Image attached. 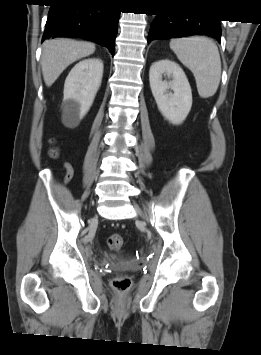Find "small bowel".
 Segmentation results:
<instances>
[{"label":"small bowel","mask_w":261,"mask_h":355,"mask_svg":"<svg viewBox=\"0 0 261 355\" xmlns=\"http://www.w3.org/2000/svg\"><path fill=\"white\" fill-rule=\"evenodd\" d=\"M64 167H65V169H66V173H67L68 171H71L72 174H73V169H72V167H71V165H70L69 163H65V164H64Z\"/></svg>","instance_id":"small-bowel-1"}]
</instances>
